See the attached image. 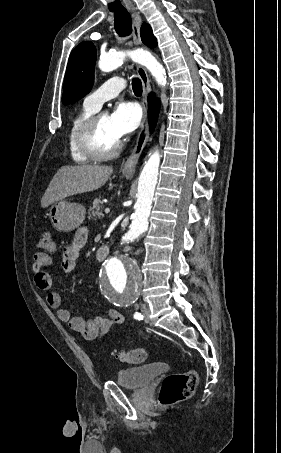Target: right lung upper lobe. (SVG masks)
Returning a JSON list of instances; mask_svg holds the SVG:
<instances>
[{
  "label": "right lung upper lobe",
  "mask_w": 281,
  "mask_h": 453,
  "mask_svg": "<svg viewBox=\"0 0 281 453\" xmlns=\"http://www.w3.org/2000/svg\"><path fill=\"white\" fill-rule=\"evenodd\" d=\"M140 35L143 43L150 48L157 46V40L153 35L152 29L147 23H143L140 29Z\"/></svg>",
  "instance_id": "right-lung-upper-lobe-1"
}]
</instances>
